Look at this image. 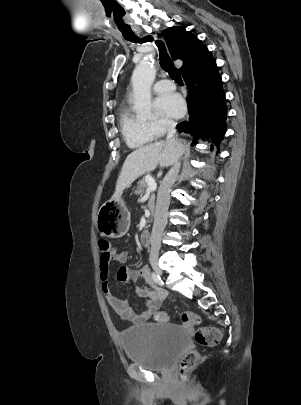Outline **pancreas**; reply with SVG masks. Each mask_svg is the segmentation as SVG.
Returning <instances> with one entry per match:
<instances>
[{"instance_id": "pancreas-1", "label": "pancreas", "mask_w": 301, "mask_h": 405, "mask_svg": "<svg viewBox=\"0 0 301 405\" xmlns=\"http://www.w3.org/2000/svg\"><path fill=\"white\" fill-rule=\"evenodd\" d=\"M147 186H148L147 180H146V178H143L142 180H140L138 182V186H137V189L135 190V194L143 195ZM154 201H155V194H152L150 197V202H149L150 210L152 212L154 210Z\"/></svg>"}]
</instances>
